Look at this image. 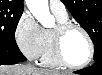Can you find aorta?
<instances>
[{
  "label": "aorta",
  "mask_w": 102,
  "mask_h": 75,
  "mask_svg": "<svg viewBox=\"0 0 102 75\" xmlns=\"http://www.w3.org/2000/svg\"><path fill=\"white\" fill-rule=\"evenodd\" d=\"M26 5L42 26L48 28L55 24V19L49 12L48 0H26Z\"/></svg>",
  "instance_id": "aorta-1"
}]
</instances>
